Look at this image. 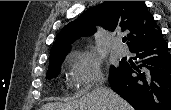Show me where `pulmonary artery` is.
Wrapping results in <instances>:
<instances>
[{"label": "pulmonary artery", "instance_id": "pulmonary-artery-1", "mask_svg": "<svg viewBox=\"0 0 171 110\" xmlns=\"http://www.w3.org/2000/svg\"><path fill=\"white\" fill-rule=\"evenodd\" d=\"M112 52L119 57L125 55V50L122 48V42L120 39H116L112 44Z\"/></svg>", "mask_w": 171, "mask_h": 110}]
</instances>
